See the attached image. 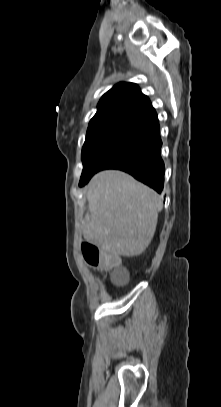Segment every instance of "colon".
Returning a JSON list of instances; mask_svg holds the SVG:
<instances>
[{"label":"colon","instance_id":"obj_1","mask_svg":"<svg viewBox=\"0 0 221 407\" xmlns=\"http://www.w3.org/2000/svg\"><path fill=\"white\" fill-rule=\"evenodd\" d=\"M83 255L86 262L91 266L101 267L104 272H107L113 266H119V262L123 259H118L117 254H110V256H103L97 247L91 244L83 245Z\"/></svg>","mask_w":221,"mask_h":407}]
</instances>
